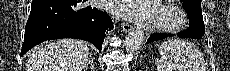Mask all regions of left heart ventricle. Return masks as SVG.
I'll list each match as a JSON object with an SVG mask.
<instances>
[{
  "instance_id": "obj_1",
  "label": "left heart ventricle",
  "mask_w": 230,
  "mask_h": 71,
  "mask_svg": "<svg viewBox=\"0 0 230 71\" xmlns=\"http://www.w3.org/2000/svg\"><path fill=\"white\" fill-rule=\"evenodd\" d=\"M156 15H157V17H159L161 14H160V12L156 11ZM164 17L168 18V15H165Z\"/></svg>"
}]
</instances>
